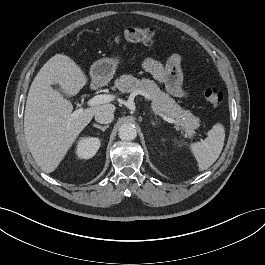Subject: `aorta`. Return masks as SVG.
Segmentation results:
<instances>
[{
    "instance_id": "1",
    "label": "aorta",
    "mask_w": 265,
    "mask_h": 265,
    "mask_svg": "<svg viewBox=\"0 0 265 265\" xmlns=\"http://www.w3.org/2000/svg\"><path fill=\"white\" fill-rule=\"evenodd\" d=\"M118 135L124 141H131L136 138L137 131L134 125L126 123L120 126Z\"/></svg>"
}]
</instances>
